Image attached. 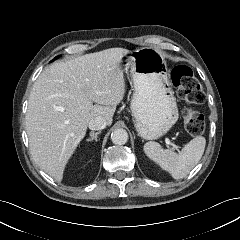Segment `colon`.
Returning a JSON list of instances; mask_svg holds the SVG:
<instances>
[{"instance_id": "obj_1", "label": "colon", "mask_w": 240, "mask_h": 240, "mask_svg": "<svg viewBox=\"0 0 240 240\" xmlns=\"http://www.w3.org/2000/svg\"><path fill=\"white\" fill-rule=\"evenodd\" d=\"M170 78L177 88V95L180 99L191 105L204 101L203 88L191 68L185 65L176 66L171 71ZM183 122L186 131L193 136L201 134L205 127L204 116L192 108L185 109Z\"/></svg>"}]
</instances>
